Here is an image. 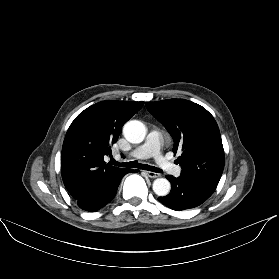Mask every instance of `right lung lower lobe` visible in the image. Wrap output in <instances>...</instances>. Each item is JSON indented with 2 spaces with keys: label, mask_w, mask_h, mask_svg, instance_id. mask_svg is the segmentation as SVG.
Listing matches in <instances>:
<instances>
[{
  "label": "right lung lower lobe",
  "mask_w": 279,
  "mask_h": 279,
  "mask_svg": "<svg viewBox=\"0 0 279 279\" xmlns=\"http://www.w3.org/2000/svg\"><path fill=\"white\" fill-rule=\"evenodd\" d=\"M130 172H134L131 169H128L123 175L112 181L111 183L107 184L103 187L99 192L86 197L84 199L77 200L78 206L86 211L94 212L105 206L109 203L115 196L117 192V188L122 177Z\"/></svg>",
  "instance_id": "1"
}]
</instances>
